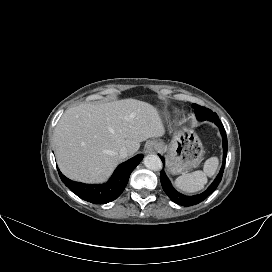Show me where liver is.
<instances>
[{"instance_id":"obj_1","label":"liver","mask_w":272,"mask_h":272,"mask_svg":"<svg viewBox=\"0 0 272 272\" xmlns=\"http://www.w3.org/2000/svg\"><path fill=\"white\" fill-rule=\"evenodd\" d=\"M163 134L164 125L154 106L123 99L67 109L55 128L53 143L58 166L65 176L98 183L121 162L122 147L132 155L141 142Z\"/></svg>"}]
</instances>
